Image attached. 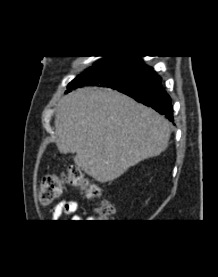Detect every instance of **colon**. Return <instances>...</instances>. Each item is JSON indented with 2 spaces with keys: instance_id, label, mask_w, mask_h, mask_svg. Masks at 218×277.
Segmentation results:
<instances>
[{
  "instance_id": "1",
  "label": "colon",
  "mask_w": 218,
  "mask_h": 277,
  "mask_svg": "<svg viewBox=\"0 0 218 277\" xmlns=\"http://www.w3.org/2000/svg\"><path fill=\"white\" fill-rule=\"evenodd\" d=\"M65 184H70L82 190L87 198H98L100 188L91 184L84 178L82 172L75 166H69L60 172L45 175L39 185L38 198L41 204L50 205L62 194ZM100 216H110L114 213V207L107 201H103L97 208Z\"/></svg>"
}]
</instances>
